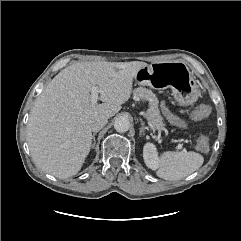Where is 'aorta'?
I'll use <instances>...</instances> for the list:
<instances>
[{
  "label": "aorta",
  "instance_id": "1",
  "mask_svg": "<svg viewBox=\"0 0 241 241\" xmlns=\"http://www.w3.org/2000/svg\"><path fill=\"white\" fill-rule=\"evenodd\" d=\"M114 128L117 132H127L130 128V122L126 117H118L115 119Z\"/></svg>",
  "mask_w": 241,
  "mask_h": 241
}]
</instances>
